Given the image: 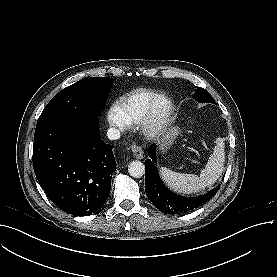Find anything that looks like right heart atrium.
Instances as JSON below:
<instances>
[{"instance_id":"1","label":"right heart atrium","mask_w":277,"mask_h":277,"mask_svg":"<svg viewBox=\"0 0 277 277\" xmlns=\"http://www.w3.org/2000/svg\"><path fill=\"white\" fill-rule=\"evenodd\" d=\"M108 122L111 126L123 129L125 127V122L119 112V110L113 106L110 108L107 114Z\"/></svg>"}]
</instances>
